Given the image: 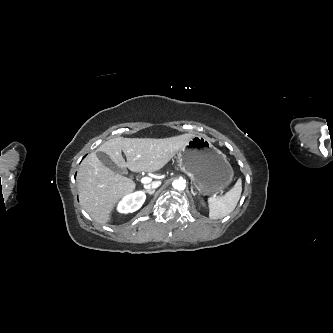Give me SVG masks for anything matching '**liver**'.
<instances>
[{
    "instance_id": "1",
    "label": "liver",
    "mask_w": 333,
    "mask_h": 333,
    "mask_svg": "<svg viewBox=\"0 0 333 333\" xmlns=\"http://www.w3.org/2000/svg\"><path fill=\"white\" fill-rule=\"evenodd\" d=\"M194 136L188 133L163 139L118 137L104 142L82 161L78 170L81 205L93 220L106 224L111 220V213L120 199L136 188L132 179L105 166L97 158L96 152L106 153L120 168H128L132 172H155L164 167Z\"/></svg>"
}]
</instances>
